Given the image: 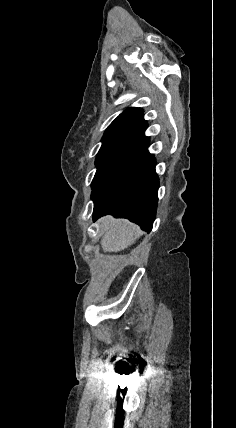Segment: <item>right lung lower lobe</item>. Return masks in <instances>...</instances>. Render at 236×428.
Returning <instances> with one entry per match:
<instances>
[{
  "mask_svg": "<svg viewBox=\"0 0 236 428\" xmlns=\"http://www.w3.org/2000/svg\"><path fill=\"white\" fill-rule=\"evenodd\" d=\"M146 148L129 171L103 197L94 203L93 220L111 214L127 218L150 231L154 222L159 180L155 159Z\"/></svg>",
  "mask_w": 236,
  "mask_h": 428,
  "instance_id": "obj_1",
  "label": "right lung lower lobe"
}]
</instances>
